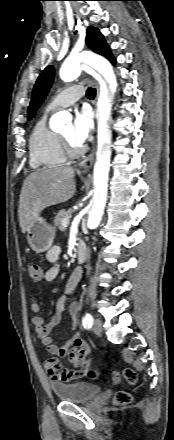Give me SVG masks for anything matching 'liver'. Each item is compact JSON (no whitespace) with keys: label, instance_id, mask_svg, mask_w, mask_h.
Listing matches in <instances>:
<instances>
[{"label":"liver","instance_id":"6515ba94","mask_svg":"<svg viewBox=\"0 0 174 440\" xmlns=\"http://www.w3.org/2000/svg\"><path fill=\"white\" fill-rule=\"evenodd\" d=\"M74 169L71 167L42 168L24 180L18 216L23 233L47 207L68 201L76 191Z\"/></svg>","mask_w":174,"mask_h":440}]
</instances>
